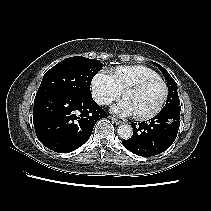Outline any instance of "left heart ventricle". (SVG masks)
Here are the masks:
<instances>
[{
  "label": "left heart ventricle",
  "mask_w": 211,
  "mask_h": 211,
  "mask_svg": "<svg viewBox=\"0 0 211 211\" xmlns=\"http://www.w3.org/2000/svg\"><path fill=\"white\" fill-rule=\"evenodd\" d=\"M163 97V86L154 82L148 86L126 93L125 98L131 103L134 114L144 115L157 108Z\"/></svg>",
  "instance_id": "1"
}]
</instances>
